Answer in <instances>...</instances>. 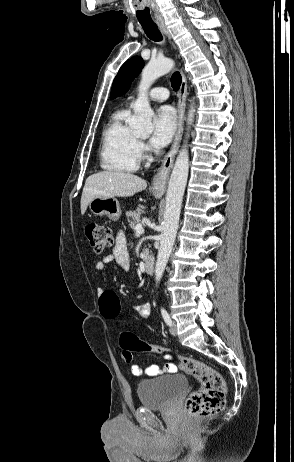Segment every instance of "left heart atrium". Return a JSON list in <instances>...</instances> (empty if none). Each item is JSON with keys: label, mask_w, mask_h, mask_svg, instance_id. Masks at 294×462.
Masks as SVG:
<instances>
[{"label": "left heart atrium", "mask_w": 294, "mask_h": 462, "mask_svg": "<svg viewBox=\"0 0 294 462\" xmlns=\"http://www.w3.org/2000/svg\"><path fill=\"white\" fill-rule=\"evenodd\" d=\"M176 130L175 110L170 106H162L154 118V132L151 142L155 147H164L172 139Z\"/></svg>", "instance_id": "obj_1"}]
</instances>
